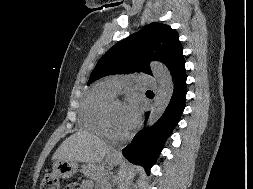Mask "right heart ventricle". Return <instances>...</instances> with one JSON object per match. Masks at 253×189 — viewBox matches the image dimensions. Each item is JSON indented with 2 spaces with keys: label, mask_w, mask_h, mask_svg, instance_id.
Segmentation results:
<instances>
[{
  "label": "right heart ventricle",
  "mask_w": 253,
  "mask_h": 189,
  "mask_svg": "<svg viewBox=\"0 0 253 189\" xmlns=\"http://www.w3.org/2000/svg\"><path fill=\"white\" fill-rule=\"evenodd\" d=\"M114 95L115 92L111 90L107 82L96 84L82 103L80 111L82 126L93 133L105 134L101 122V112L106 101Z\"/></svg>",
  "instance_id": "obj_1"
}]
</instances>
